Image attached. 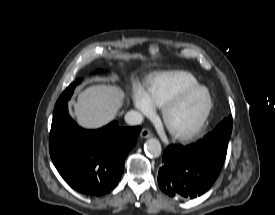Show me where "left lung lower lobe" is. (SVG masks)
<instances>
[{
    "mask_svg": "<svg viewBox=\"0 0 275 215\" xmlns=\"http://www.w3.org/2000/svg\"><path fill=\"white\" fill-rule=\"evenodd\" d=\"M222 162L188 146L170 145L163 154L158 184L170 197L194 199L210 189L220 174Z\"/></svg>",
    "mask_w": 275,
    "mask_h": 215,
    "instance_id": "left-lung-lower-lobe-1",
    "label": "left lung lower lobe"
}]
</instances>
